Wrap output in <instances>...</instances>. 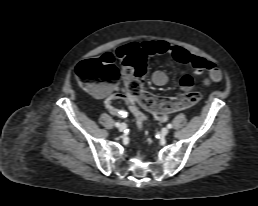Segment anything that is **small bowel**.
Segmentation results:
<instances>
[{
  "mask_svg": "<svg viewBox=\"0 0 258 206\" xmlns=\"http://www.w3.org/2000/svg\"><path fill=\"white\" fill-rule=\"evenodd\" d=\"M137 54L147 55H169L175 61L191 66L194 69L193 75L185 74L180 80L179 84L182 90L189 91L194 86V76L207 72V77L204 79V85L209 86L212 83H217L222 79V72L217 65L208 59L191 54L186 49L180 46H173L164 40H148L142 43L131 42L120 46L116 50V56L121 60L133 57ZM110 55L112 58L113 56ZM152 82L157 86H163L168 82V76L163 71H155L152 75ZM98 96L105 98V105L108 111L116 116H125L126 112L114 105L116 100H127V97L118 92L115 88H104ZM159 121H165L166 115L157 114Z\"/></svg>",
  "mask_w": 258,
  "mask_h": 206,
  "instance_id": "small-bowel-1",
  "label": "small bowel"
}]
</instances>
